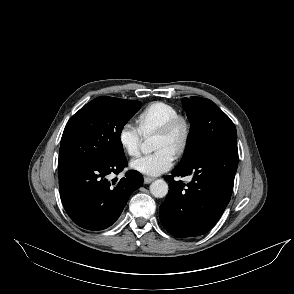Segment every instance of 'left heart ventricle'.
<instances>
[{"mask_svg": "<svg viewBox=\"0 0 294 294\" xmlns=\"http://www.w3.org/2000/svg\"><path fill=\"white\" fill-rule=\"evenodd\" d=\"M180 138V133L177 132L176 134L172 136H166L161 134H156V140H155V149H169L174 152V148Z\"/></svg>", "mask_w": 294, "mask_h": 294, "instance_id": "b2bd125f", "label": "left heart ventricle"}]
</instances>
